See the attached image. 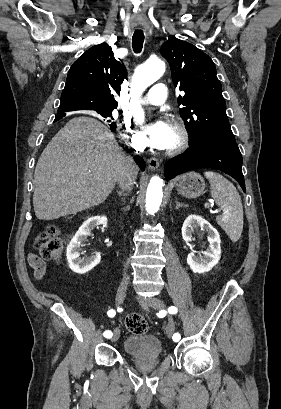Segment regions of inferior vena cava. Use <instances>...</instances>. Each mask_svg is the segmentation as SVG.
<instances>
[{"label":"inferior vena cava","mask_w":281,"mask_h":409,"mask_svg":"<svg viewBox=\"0 0 281 409\" xmlns=\"http://www.w3.org/2000/svg\"><path fill=\"white\" fill-rule=\"evenodd\" d=\"M121 172L118 176V184L122 190H132V186L137 176L138 166L135 164L133 158H126L125 162L121 164ZM124 279H127L126 275Z\"/></svg>","instance_id":"inferior-vena-cava-1"}]
</instances>
